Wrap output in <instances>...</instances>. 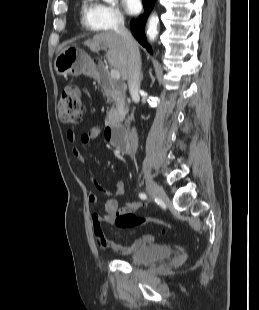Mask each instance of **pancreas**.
I'll return each mask as SVG.
<instances>
[{
  "instance_id": "pancreas-1",
  "label": "pancreas",
  "mask_w": 259,
  "mask_h": 310,
  "mask_svg": "<svg viewBox=\"0 0 259 310\" xmlns=\"http://www.w3.org/2000/svg\"><path fill=\"white\" fill-rule=\"evenodd\" d=\"M111 100L114 101V104L110 108L109 112H107L106 118V123L110 125L119 123L120 119L125 114L123 100L117 94H112Z\"/></svg>"
}]
</instances>
